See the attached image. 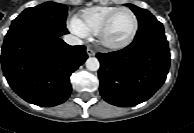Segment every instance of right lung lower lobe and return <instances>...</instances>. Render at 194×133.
<instances>
[{
    "label": "right lung lower lobe",
    "mask_w": 194,
    "mask_h": 133,
    "mask_svg": "<svg viewBox=\"0 0 194 133\" xmlns=\"http://www.w3.org/2000/svg\"><path fill=\"white\" fill-rule=\"evenodd\" d=\"M66 25L53 21L11 27L2 46V68L11 88L25 101L52 107L71 92L70 75L87 59L85 46H70L60 36Z\"/></svg>",
    "instance_id": "98d812e1"
}]
</instances>
